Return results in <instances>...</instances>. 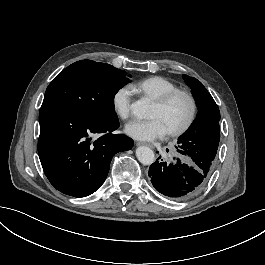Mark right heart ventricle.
Returning a JSON list of instances; mask_svg holds the SVG:
<instances>
[{
    "instance_id": "1",
    "label": "right heart ventricle",
    "mask_w": 265,
    "mask_h": 265,
    "mask_svg": "<svg viewBox=\"0 0 265 265\" xmlns=\"http://www.w3.org/2000/svg\"><path fill=\"white\" fill-rule=\"evenodd\" d=\"M129 88L134 92L151 99L153 102L168 93L179 89L174 82L163 76H150L135 80L129 84Z\"/></svg>"
}]
</instances>
